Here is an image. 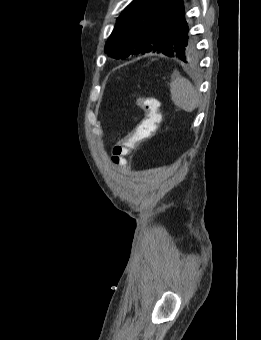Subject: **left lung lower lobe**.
I'll list each match as a JSON object with an SVG mask.
<instances>
[{"label": "left lung lower lobe", "mask_w": 261, "mask_h": 340, "mask_svg": "<svg viewBox=\"0 0 261 340\" xmlns=\"http://www.w3.org/2000/svg\"><path fill=\"white\" fill-rule=\"evenodd\" d=\"M160 13L167 15L168 19L178 20L182 15L185 14L183 0H166L163 7L160 10ZM159 53H163L167 56L174 57L167 50H161Z\"/></svg>", "instance_id": "0a47b994"}]
</instances>
